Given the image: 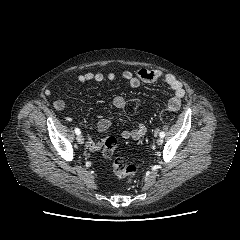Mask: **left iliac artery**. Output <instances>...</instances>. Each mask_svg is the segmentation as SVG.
I'll return each mask as SVG.
<instances>
[{
  "label": "left iliac artery",
  "instance_id": "44dca946",
  "mask_svg": "<svg viewBox=\"0 0 240 240\" xmlns=\"http://www.w3.org/2000/svg\"><path fill=\"white\" fill-rule=\"evenodd\" d=\"M159 136H160L161 138H164V137H165V133H164V132H160Z\"/></svg>",
  "mask_w": 240,
  "mask_h": 240
}]
</instances>
